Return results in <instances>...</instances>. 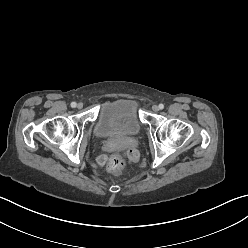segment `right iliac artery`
I'll use <instances>...</instances> for the list:
<instances>
[{
	"instance_id": "1",
	"label": "right iliac artery",
	"mask_w": 248,
	"mask_h": 248,
	"mask_svg": "<svg viewBox=\"0 0 248 248\" xmlns=\"http://www.w3.org/2000/svg\"><path fill=\"white\" fill-rule=\"evenodd\" d=\"M76 105H77V104H76L75 102H72V103H71V107H72V108H75Z\"/></svg>"
}]
</instances>
